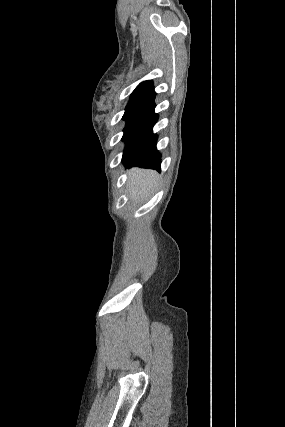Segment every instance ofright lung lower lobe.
<instances>
[{
  "label": "right lung lower lobe",
  "mask_w": 285,
  "mask_h": 427,
  "mask_svg": "<svg viewBox=\"0 0 285 427\" xmlns=\"http://www.w3.org/2000/svg\"><path fill=\"white\" fill-rule=\"evenodd\" d=\"M158 120V115L154 110L146 117L144 123V134L140 148L134 158L126 167L139 166L160 171L161 154L156 148L157 135L153 133V126Z\"/></svg>",
  "instance_id": "obj_1"
}]
</instances>
